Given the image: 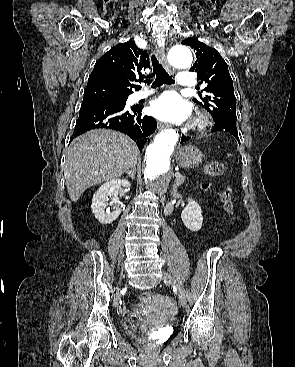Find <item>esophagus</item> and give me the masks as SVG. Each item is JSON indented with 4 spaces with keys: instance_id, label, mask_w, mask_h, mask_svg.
Here are the masks:
<instances>
[{
    "instance_id": "obj_1",
    "label": "esophagus",
    "mask_w": 295,
    "mask_h": 367,
    "mask_svg": "<svg viewBox=\"0 0 295 367\" xmlns=\"http://www.w3.org/2000/svg\"><path fill=\"white\" fill-rule=\"evenodd\" d=\"M158 56H159V60L162 63V65L164 66V68L169 72V73H173V70L171 68V66L169 65L167 59H166V55H165V48L164 46L160 47L158 50ZM159 128H164L165 125L162 123L158 124Z\"/></svg>"
}]
</instances>
